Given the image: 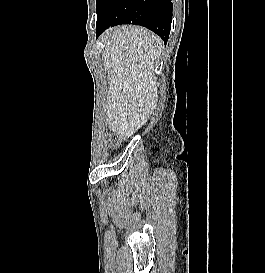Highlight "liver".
I'll list each match as a JSON object with an SVG mask.
<instances>
[{
	"label": "liver",
	"mask_w": 265,
	"mask_h": 273,
	"mask_svg": "<svg viewBox=\"0 0 265 273\" xmlns=\"http://www.w3.org/2000/svg\"><path fill=\"white\" fill-rule=\"evenodd\" d=\"M103 64L108 71V124L119 138L131 137L155 109L154 70L161 39L139 26H117L103 33Z\"/></svg>",
	"instance_id": "1"
}]
</instances>
